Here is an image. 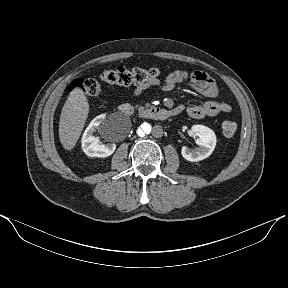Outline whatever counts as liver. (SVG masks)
Segmentation results:
<instances>
[{"label":"liver","mask_w":288,"mask_h":288,"mask_svg":"<svg viewBox=\"0 0 288 288\" xmlns=\"http://www.w3.org/2000/svg\"><path fill=\"white\" fill-rule=\"evenodd\" d=\"M89 113V104L84 92L75 88L69 94L60 115L59 139L66 150L76 145Z\"/></svg>","instance_id":"1"}]
</instances>
